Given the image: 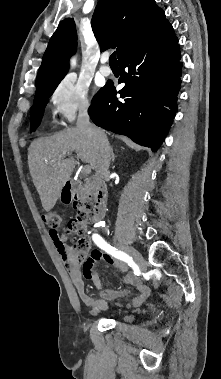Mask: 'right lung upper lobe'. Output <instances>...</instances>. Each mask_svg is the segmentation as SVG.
Instances as JSON below:
<instances>
[{
  "label": "right lung upper lobe",
  "mask_w": 221,
  "mask_h": 379,
  "mask_svg": "<svg viewBox=\"0 0 221 379\" xmlns=\"http://www.w3.org/2000/svg\"><path fill=\"white\" fill-rule=\"evenodd\" d=\"M167 21L154 0H100L91 24L101 50L116 48L119 58ZM76 43L74 20L66 18L48 43L38 70L37 90L63 79Z\"/></svg>",
  "instance_id": "cb5924a9"
}]
</instances>
